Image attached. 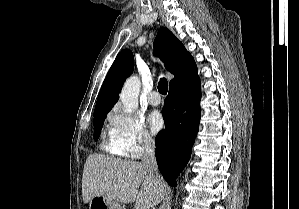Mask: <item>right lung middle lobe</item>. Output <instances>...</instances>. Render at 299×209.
Here are the masks:
<instances>
[{
  "label": "right lung middle lobe",
  "mask_w": 299,
  "mask_h": 209,
  "mask_svg": "<svg viewBox=\"0 0 299 209\" xmlns=\"http://www.w3.org/2000/svg\"><path fill=\"white\" fill-rule=\"evenodd\" d=\"M108 112L105 113H99V114H94V137L95 141L98 140L99 138V131L102 129L104 120L107 116Z\"/></svg>",
  "instance_id": "dd1d6c3e"
}]
</instances>
